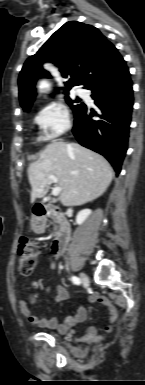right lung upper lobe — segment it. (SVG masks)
<instances>
[{
    "instance_id": "cb5924a9",
    "label": "right lung upper lobe",
    "mask_w": 145,
    "mask_h": 385,
    "mask_svg": "<svg viewBox=\"0 0 145 385\" xmlns=\"http://www.w3.org/2000/svg\"><path fill=\"white\" fill-rule=\"evenodd\" d=\"M59 67L65 82V94L75 85L90 89L126 67L115 46L95 27L76 21L65 23L47 40L39 51L30 56L18 79L19 99L28 110L35 98V83L50 77L42 63Z\"/></svg>"
}]
</instances>
